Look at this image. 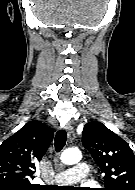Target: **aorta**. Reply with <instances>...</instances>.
Masks as SVG:
<instances>
[{
	"label": "aorta",
	"mask_w": 135,
	"mask_h": 190,
	"mask_svg": "<svg viewBox=\"0 0 135 190\" xmlns=\"http://www.w3.org/2000/svg\"><path fill=\"white\" fill-rule=\"evenodd\" d=\"M82 158V154L78 149H66L61 154V161L67 165L78 163Z\"/></svg>",
	"instance_id": "762f6f07"
}]
</instances>
